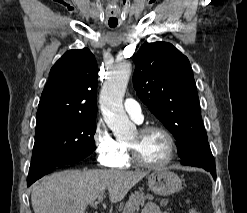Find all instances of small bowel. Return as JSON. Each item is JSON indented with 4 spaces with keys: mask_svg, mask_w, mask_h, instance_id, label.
<instances>
[{
    "mask_svg": "<svg viewBox=\"0 0 247 213\" xmlns=\"http://www.w3.org/2000/svg\"><path fill=\"white\" fill-rule=\"evenodd\" d=\"M142 213H168V212H161L156 204L152 202H148L144 206Z\"/></svg>",
    "mask_w": 247,
    "mask_h": 213,
    "instance_id": "small-bowel-1",
    "label": "small bowel"
}]
</instances>
